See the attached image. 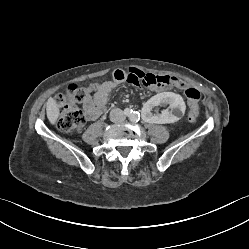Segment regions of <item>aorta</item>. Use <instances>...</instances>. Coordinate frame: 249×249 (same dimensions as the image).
<instances>
[{"instance_id": "1", "label": "aorta", "mask_w": 249, "mask_h": 249, "mask_svg": "<svg viewBox=\"0 0 249 249\" xmlns=\"http://www.w3.org/2000/svg\"><path fill=\"white\" fill-rule=\"evenodd\" d=\"M128 118L132 122H137L140 118V114L136 111H132L128 114Z\"/></svg>"}]
</instances>
